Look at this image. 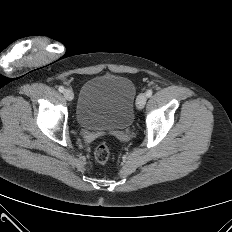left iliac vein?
Masks as SVG:
<instances>
[{
  "instance_id": "left-iliac-vein-1",
  "label": "left iliac vein",
  "mask_w": 232,
  "mask_h": 232,
  "mask_svg": "<svg viewBox=\"0 0 232 232\" xmlns=\"http://www.w3.org/2000/svg\"><path fill=\"white\" fill-rule=\"evenodd\" d=\"M146 101H147V96L144 94V93H141L138 95L137 99H136V106L137 108L140 110V109H143L145 104H146Z\"/></svg>"
}]
</instances>
